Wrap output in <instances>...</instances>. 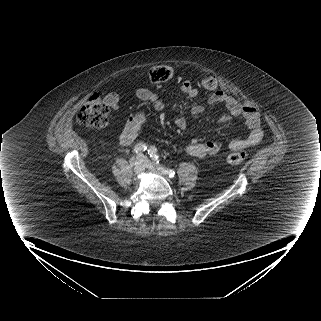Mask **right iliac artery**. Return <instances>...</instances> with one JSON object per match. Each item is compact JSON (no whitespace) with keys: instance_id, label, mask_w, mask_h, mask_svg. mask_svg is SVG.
Wrapping results in <instances>:
<instances>
[{"instance_id":"right-iliac-artery-1","label":"right iliac artery","mask_w":321,"mask_h":321,"mask_svg":"<svg viewBox=\"0 0 321 321\" xmlns=\"http://www.w3.org/2000/svg\"><path fill=\"white\" fill-rule=\"evenodd\" d=\"M147 150V145L144 143H138L134 149H133V153L134 154H140L141 152Z\"/></svg>"}]
</instances>
